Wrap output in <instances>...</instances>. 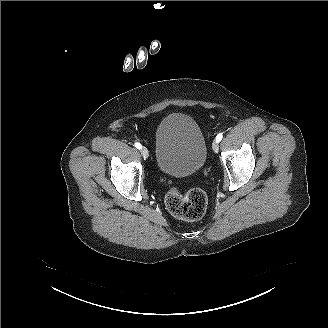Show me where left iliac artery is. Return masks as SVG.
Wrapping results in <instances>:
<instances>
[{"label": "left iliac artery", "instance_id": "obj_1", "mask_svg": "<svg viewBox=\"0 0 328 328\" xmlns=\"http://www.w3.org/2000/svg\"><path fill=\"white\" fill-rule=\"evenodd\" d=\"M222 137H223L222 133H219V134L216 136V141H217V142H220V141L222 140Z\"/></svg>", "mask_w": 328, "mask_h": 328}]
</instances>
